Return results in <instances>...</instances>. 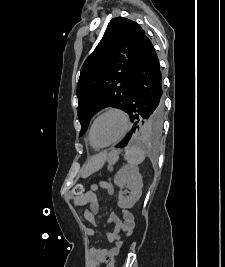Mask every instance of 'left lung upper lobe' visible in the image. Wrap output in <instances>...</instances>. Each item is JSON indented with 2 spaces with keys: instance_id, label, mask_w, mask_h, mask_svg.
<instances>
[{
  "instance_id": "1",
  "label": "left lung upper lobe",
  "mask_w": 225,
  "mask_h": 267,
  "mask_svg": "<svg viewBox=\"0 0 225 267\" xmlns=\"http://www.w3.org/2000/svg\"><path fill=\"white\" fill-rule=\"evenodd\" d=\"M146 38L144 30L132 20L117 17L109 22L101 41L84 62L77 84L80 136L102 108L128 111L134 72ZM136 129L141 135L156 136L162 125L147 117Z\"/></svg>"
}]
</instances>
